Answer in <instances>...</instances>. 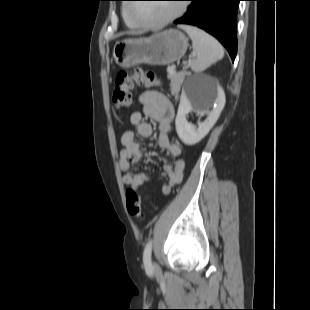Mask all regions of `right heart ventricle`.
<instances>
[{"label": "right heart ventricle", "instance_id": "1", "mask_svg": "<svg viewBox=\"0 0 310 310\" xmlns=\"http://www.w3.org/2000/svg\"><path fill=\"white\" fill-rule=\"evenodd\" d=\"M123 17H124V20L126 22V24L130 27V28H138V26L136 24H134L126 15V5H124L123 7Z\"/></svg>", "mask_w": 310, "mask_h": 310}]
</instances>
